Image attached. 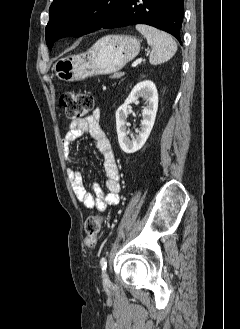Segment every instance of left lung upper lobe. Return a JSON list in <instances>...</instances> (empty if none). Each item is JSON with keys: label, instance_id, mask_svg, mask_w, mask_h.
Here are the masks:
<instances>
[{"label": "left lung upper lobe", "instance_id": "5c2ea615", "mask_svg": "<svg viewBox=\"0 0 240 329\" xmlns=\"http://www.w3.org/2000/svg\"><path fill=\"white\" fill-rule=\"evenodd\" d=\"M124 0H54L45 28L49 49L63 37H79L100 29Z\"/></svg>", "mask_w": 240, "mask_h": 329}]
</instances>
